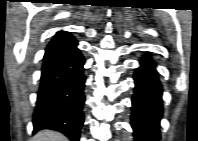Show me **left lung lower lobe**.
Returning a JSON list of instances; mask_svg holds the SVG:
<instances>
[{
    "label": "left lung lower lobe",
    "mask_w": 198,
    "mask_h": 141,
    "mask_svg": "<svg viewBox=\"0 0 198 141\" xmlns=\"http://www.w3.org/2000/svg\"><path fill=\"white\" fill-rule=\"evenodd\" d=\"M134 80L131 126L135 141H159L163 116L162 85L150 55L140 60Z\"/></svg>",
    "instance_id": "0a47b994"
}]
</instances>
